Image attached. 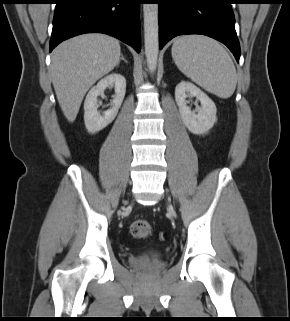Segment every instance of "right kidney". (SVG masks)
<instances>
[{
  "label": "right kidney",
  "instance_id": "ca27d5eb",
  "mask_svg": "<svg viewBox=\"0 0 290 321\" xmlns=\"http://www.w3.org/2000/svg\"><path fill=\"white\" fill-rule=\"evenodd\" d=\"M114 86L115 95L111 102V108L100 115L98 111L97 97L104 93L107 87ZM126 92V79L119 73H112L101 79L97 85L91 88L84 102V122L89 133H97L109 125L116 117L123 102Z\"/></svg>",
  "mask_w": 290,
  "mask_h": 321
}]
</instances>
